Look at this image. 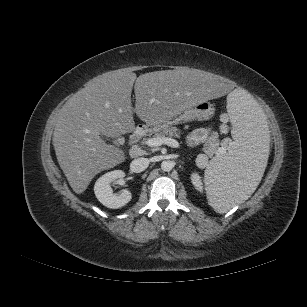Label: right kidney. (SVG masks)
<instances>
[{"label":"right kidney","mask_w":307,"mask_h":307,"mask_svg":"<svg viewBox=\"0 0 307 307\" xmlns=\"http://www.w3.org/2000/svg\"><path fill=\"white\" fill-rule=\"evenodd\" d=\"M124 177L125 173L122 170H114L102 175L94 185V193L98 201L112 209L121 208L130 202L131 192L123 190L119 194H115L110 185L111 182Z\"/></svg>","instance_id":"right-kidney-1"}]
</instances>
